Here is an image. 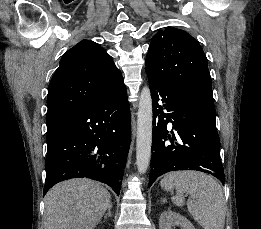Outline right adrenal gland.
I'll return each instance as SVG.
<instances>
[{"instance_id":"2a0ac1e0","label":"right adrenal gland","mask_w":261,"mask_h":229,"mask_svg":"<svg viewBox=\"0 0 261 229\" xmlns=\"http://www.w3.org/2000/svg\"><path fill=\"white\" fill-rule=\"evenodd\" d=\"M111 211H112V203H111V205H109L108 213H106V215H104V219H107V217H112Z\"/></svg>"}]
</instances>
